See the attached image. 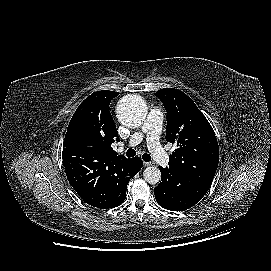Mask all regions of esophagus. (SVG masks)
Returning a JSON list of instances; mask_svg holds the SVG:
<instances>
[{"mask_svg": "<svg viewBox=\"0 0 271 271\" xmlns=\"http://www.w3.org/2000/svg\"><path fill=\"white\" fill-rule=\"evenodd\" d=\"M144 166L148 167V166H152L151 162H144Z\"/></svg>", "mask_w": 271, "mask_h": 271, "instance_id": "1", "label": "esophagus"}]
</instances>
